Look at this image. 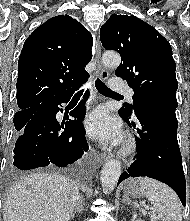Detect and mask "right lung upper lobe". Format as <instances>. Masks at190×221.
I'll list each match as a JSON object with an SVG mask.
<instances>
[{
  "label": "right lung upper lobe",
  "instance_id": "cb5924a9",
  "mask_svg": "<svg viewBox=\"0 0 190 221\" xmlns=\"http://www.w3.org/2000/svg\"><path fill=\"white\" fill-rule=\"evenodd\" d=\"M91 33L69 15L40 25L25 41L18 61V112L38 107L51 97L77 90L89 77ZM17 112V113H18Z\"/></svg>",
  "mask_w": 190,
  "mask_h": 221
}]
</instances>
